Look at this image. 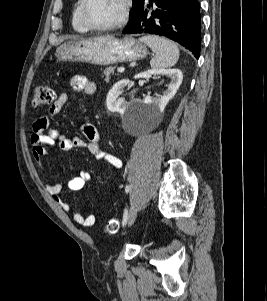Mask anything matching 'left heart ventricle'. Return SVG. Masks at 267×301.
<instances>
[{"mask_svg":"<svg viewBox=\"0 0 267 301\" xmlns=\"http://www.w3.org/2000/svg\"><path fill=\"white\" fill-rule=\"evenodd\" d=\"M122 0H89L87 15L95 25L114 23L121 15Z\"/></svg>","mask_w":267,"mask_h":301,"instance_id":"b2bd125f","label":"left heart ventricle"}]
</instances>
